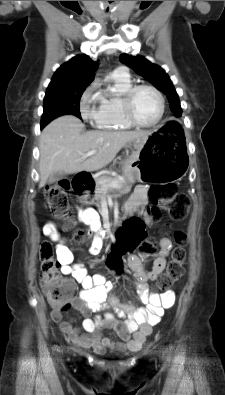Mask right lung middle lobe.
Masks as SVG:
<instances>
[{
	"label": "right lung middle lobe",
	"instance_id": "right-lung-middle-lobe-1",
	"mask_svg": "<svg viewBox=\"0 0 225 395\" xmlns=\"http://www.w3.org/2000/svg\"><path fill=\"white\" fill-rule=\"evenodd\" d=\"M86 87L81 85L48 87L44 98L41 128L61 115L73 114L81 118L79 100Z\"/></svg>",
	"mask_w": 225,
	"mask_h": 395
}]
</instances>
